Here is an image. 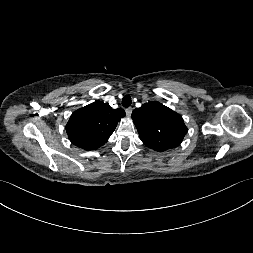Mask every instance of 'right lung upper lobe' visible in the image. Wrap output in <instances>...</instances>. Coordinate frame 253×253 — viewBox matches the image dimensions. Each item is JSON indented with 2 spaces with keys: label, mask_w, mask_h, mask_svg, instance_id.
I'll return each instance as SVG.
<instances>
[{
  "label": "right lung upper lobe",
  "mask_w": 253,
  "mask_h": 253,
  "mask_svg": "<svg viewBox=\"0 0 253 253\" xmlns=\"http://www.w3.org/2000/svg\"><path fill=\"white\" fill-rule=\"evenodd\" d=\"M124 116L123 109H112L107 103L95 101L72 113L66 132L74 145L85 150H95L108 141Z\"/></svg>",
  "instance_id": "cb5924a9"
}]
</instances>
